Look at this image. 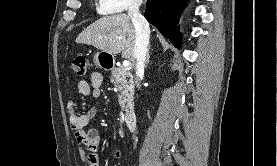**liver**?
Returning <instances> with one entry per match:
<instances>
[{
    "instance_id": "liver-1",
    "label": "liver",
    "mask_w": 277,
    "mask_h": 166,
    "mask_svg": "<svg viewBox=\"0 0 277 166\" xmlns=\"http://www.w3.org/2000/svg\"><path fill=\"white\" fill-rule=\"evenodd\" d=\"M135 27L127 14H117L100 18L76 38V43L91 45L103 52L135 62Z\"/></svg>"
}]
</instances>
